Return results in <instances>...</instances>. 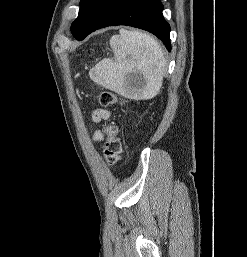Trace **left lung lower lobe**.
Returning <instances> with one entry per match:
<instances>
[{"instance_id": "left-lung-lower-lobe-1", "label": "left lung lower lobe", "mask_w": 247, "mask_h": 257, "mask_svg": "<svg viewBox=\"0 0 247 257\" xmlns=\"http://www.w3.org/2000/svg\"><path fill=\"white\" fill-rule=\"evenodd\" d=\"M162 10L160 0H97L81 30L74 37L81 41L97 29L128 25L153 33L171 51L170 26L165 21Z\"/></svg>"}]
</instances>
